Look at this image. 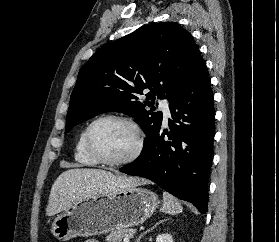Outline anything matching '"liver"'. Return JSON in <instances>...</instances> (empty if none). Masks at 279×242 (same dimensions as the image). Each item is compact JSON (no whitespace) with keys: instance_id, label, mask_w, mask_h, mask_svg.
Masks as SVG:
<instances>
[{"instance_id":"obj_1","label":"liver","mask_w":279,"mask_h":242,"mask_svg":"<svg viewBox=\"0 0 279 242\" xmlns=\"http://www.w3.org/2000/svg\"><path fill=\"white\" fill-rule=\"evenodd\" d=\"M145 179L115 175L99 169H68L52 185L46 215L66 210L74 202L96 195L145 184Z\"/></svg>"}]
</instances>
